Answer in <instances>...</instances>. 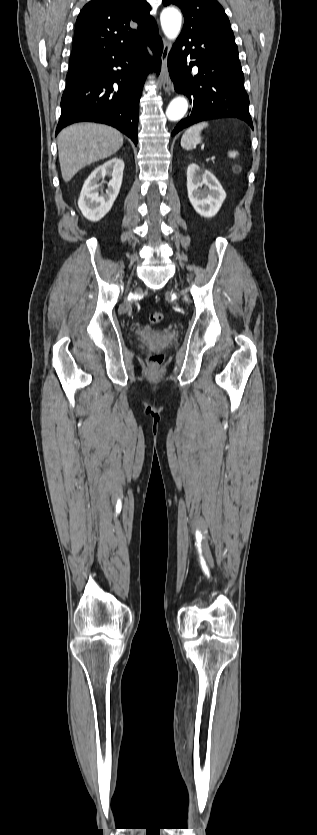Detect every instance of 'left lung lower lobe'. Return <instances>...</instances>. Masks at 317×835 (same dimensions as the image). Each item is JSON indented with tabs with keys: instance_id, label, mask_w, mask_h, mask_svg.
Segmentation results:
<instances>
[{
	"instance_id": "1",
	"label": "left lung lower lobe",
	"mask_w": 317,
	"mask_h": 835,
	"mask_svg": "<svg viewBox=\"0 0 317 835\" xmlns=\"http://www.w3.org/2000/svg\"><path fill=\"white\" fill-rule=\"evenodd\" d=\"M187 58L192 60L189 66ZM194 65L198 74L193 77ZM168 69L176 92L187 95L192 105L191 113L177 124L172 135L194 123L225 117L243 120L253 129L234 42L213 34L178 37L168 57Z\"/></svg>"
}]
</instances>
